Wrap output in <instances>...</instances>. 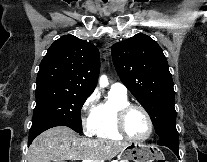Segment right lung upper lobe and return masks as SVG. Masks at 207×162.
I'll return each instance as SVG.
<instances>
[{
	"label": "right lung upper lobe",
	"mask_w": 207,
	"mask_h": 162,
	"mask_svg": "<svg viewBox=\"0 0 207 162\" xmlns=\"http://www.w3.org/2000/svg\"><path fill=\"white\" fill-rule=\"evenodd\" d=\"M100 70L96 46L73 35L56 40L42 59L37 88L55 87L90 95Z\"/></svg>",
	"instance_id": "1"
}]
</instances>
